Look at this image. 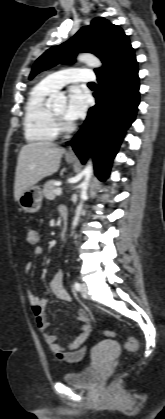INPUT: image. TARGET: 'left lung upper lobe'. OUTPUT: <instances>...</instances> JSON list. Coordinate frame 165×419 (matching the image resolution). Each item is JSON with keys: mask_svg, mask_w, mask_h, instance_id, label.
Masks as SVG:
<instances>
[{"mask_svg": "<svg viewBox=\"0 0 165 419\" xmlns=\"http://www.w3.org/2000/svg\"><path fill=\"white\" fill-rule=\"evenodd\" d=\"M130 48V41L122 28L97 17L70 40L42 54L36 60L29 79L59 63L73 62L78 52H91L101 59L103 66L95 69L96 75H99L118 62Z\"/></svg>", "mask_w": 165, "mask_h": 419, "instance_id": "left-lung-upper-lobe-1", "label": "left lung upper lobe"}]
</instances>
